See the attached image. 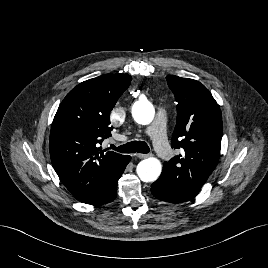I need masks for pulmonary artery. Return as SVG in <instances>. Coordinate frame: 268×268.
I'll return each instance as SVG.
<instances>
[{"label": "pulmonary artery", "mask_w": 268, "mask_h": 268, "mask_svg": "<svg viewBox=\"0 0 268 268\" xmlns=\"http://www.w3.org/2000/svg\"><path fill=\"white\" fill-rule=\"evenodd\" d=\"M143 134L153 140L154 148L163 160L169 161L172 158V150L166 138V109L164 107L159 108L156 123L145 128Z\"/></svg>", "instance_id": "pulmonary-artery-1"}]
</instances>
